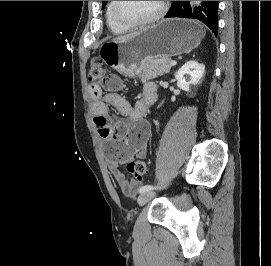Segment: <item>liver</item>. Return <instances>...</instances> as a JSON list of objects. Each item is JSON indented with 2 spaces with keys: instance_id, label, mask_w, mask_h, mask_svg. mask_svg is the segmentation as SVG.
<instances>
[{
  "instance_id": "liver-1",
  "label": "liver",
  "mask_w": 271,
  "mask_h": 266,
  "mask_svg": "<svg viewBox=\"0 0 271 266\" xmlns=\"http://www.w3.org/2000/svg\"><path fill=\"white\" fill-rule=\"evenodd\" d=\"M145 28L137 31V32H133V33H130V34H127V35H124V36H120V37H117L115 39H113V41H119V40H125V39H129L137 34H139V32L143 31Z\"/></svg>"
}]
</instances>
